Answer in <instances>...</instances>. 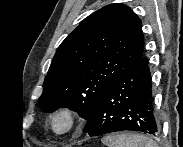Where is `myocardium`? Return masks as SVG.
Masks as SVG:
<instances>
[{
  "mask_svg": "<svg viewBox=\"0 0 183 147\" xmlns=\"http://www.w3.org/2000/svg\"><path fill=\"white\" fill-rule=\"evenodd\" d=\"M61 118L65 119L68 125L65 130L59 131L56 128V122ZM78 125H79V117L77 112L68 106H62L57 108L49 116L50 129L57 136L70 135L77 129Z\"/></svg>",
  "mask_w": 183,
  "mask_h": 147,
  "instance_id": "obj_1",
  "label": "myocardium"
}]
</instances>
